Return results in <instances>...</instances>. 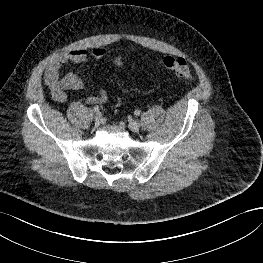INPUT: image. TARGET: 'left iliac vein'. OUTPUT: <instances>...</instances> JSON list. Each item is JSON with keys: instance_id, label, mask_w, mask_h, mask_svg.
Here are the masks:
<instances>
[{"instance_id": "left-iliac-vein-1", "label": "left iliac vein", "mask_w": 263, "mask_h": 263, "mask_svg": "<svg viewBox=\"0 0 263 263\" xmlns=\"http://www.w3.org/2000/svg\"><path fill=\"white\" fill-rule=\"evenodd\" d=\"M128 126L133 132H138L140 129V124L134 120H130Z\"/></svg>"}]
</instances>
